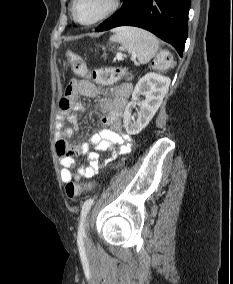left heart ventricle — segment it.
I'll return each instance as SVG.
<instances>
[{
	"label": "left heart ventricle",
	"instance_id": "obj_1",
	"mask_svg": "<svg viewBox=\"0 0 233 284\" xmlns=\"http://www.w3.org/2000/svg\"><path fill=\"white\" fill-rule=\"evenodd\" d=\"M110 0H79L76 5V16L80 21L89 22L101 15Z\"/></svg>",
	"mask_w": 233,
	"mask_h": 284
}]
</instances>
